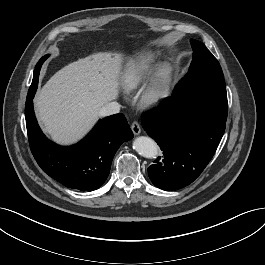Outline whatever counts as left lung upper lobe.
Returning a JSON list of instances; mask_svg holds the SVG:
<instances>
[{
    "label": "left lung upper lobe",
    "instance_id": "5c2ea615",
    "mask_svg": "<svg viewBox=\"0 0 265 265\" xmlns=\"http://www.w3.org/2000/svg\"><path fill=\"white\" fill-rule=\"evenodd\" d=\"M193 60L188 73L176 85L174 95L199 103L227 118V93L223 72L217 59L197 40L191 39Z\"/></svg>",
    "mask_w": 265,
    "mask_h": 265
}]
</instances>
